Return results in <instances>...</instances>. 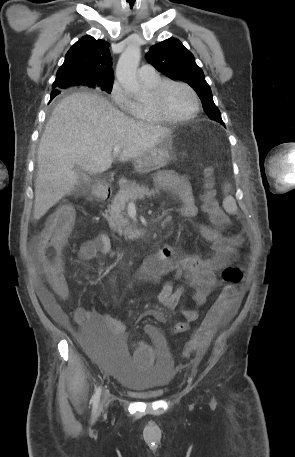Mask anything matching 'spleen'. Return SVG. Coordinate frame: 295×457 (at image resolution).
Wrapping results in <instances>:
<instances>
[{
	"mask_svg": "<svg viewBox=\"0 0 295 457\" xmlns=\"http://www.w3.org/2000/svg\"><path fill=\"white\" fill-rule=\"evenodd\" d=\"M225 189L228 190L229 186L226 185ZM223 207H224L225 211L229 214H233L237 211L236 201L234 200V198L232 196H226V198L223 201Z\"/></svg>",
	"mask_w": 295,
	"mask_h": 457,
	"instance_id": "1",
	"label": "spleen"
}]
</instances>
